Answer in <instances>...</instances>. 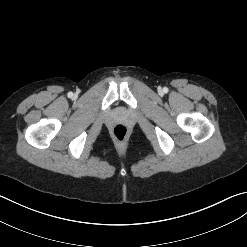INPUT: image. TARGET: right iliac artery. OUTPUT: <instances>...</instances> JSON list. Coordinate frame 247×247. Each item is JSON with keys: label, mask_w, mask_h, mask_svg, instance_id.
Masks as SVG:
<instances>
[{"label": "right iliac artery", "mask_w": 247, "mask_h": 247, "mask_svg": "<svg viewBox=\"0 0 247 247\" xmlns=\"http://www.w3.org/2000/svg\"><path fill=\"white\" fill-rule=\"evenodd\" d=\"M73 96V93L72 92H69L68 93V97H72Z\"/></svg>", "instance_id": "82829eb1"}]
</instances>
